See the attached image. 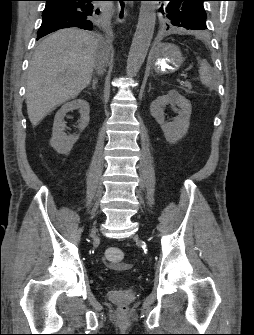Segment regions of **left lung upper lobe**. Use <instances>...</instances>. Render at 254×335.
I'll use <instances>...</instances> for the list:
<instances>
[{"mask_svg":"<svg viewBox=\"0 0 254 335\" xmlns=\"http://www.w3.org/2000/svg\"><path fill=\"white\" fill-rule=\"evenodd\" d=\"M167 7L160 11L166 16L168 28L178 26L190 30H205L206 12L203 2L206 0H167Z\"/></svg>","mask_w":254,"mask_h":335,"instance_id":"5c2ea615","label":"left lung upper lobe"}]
</instances>
